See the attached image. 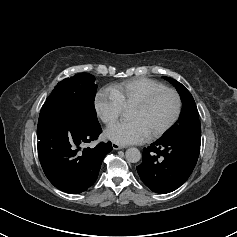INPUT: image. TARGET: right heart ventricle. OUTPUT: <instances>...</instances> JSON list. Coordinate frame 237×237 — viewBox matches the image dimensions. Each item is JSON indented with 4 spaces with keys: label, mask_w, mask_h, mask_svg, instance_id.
I'll list each match as a JSON object with an SVG mask.
<instances>
[{
    "label": "right heart ventricle",
    "mask_w": 237,
    "mask_h": 237,
    "mask_svg": "<svg viewBox=\"0 0 237 237\" xmlns=\"http://www.w3.org/2000/svg\"><path fill=\"white\" fill-rule=\"evenodd\" d=\"M162 83L148 78H133L111 86L123 106L133 105L149 93L164 88Z\"/></svg>",
    "instance_id": "obj_1"
}]
</instances>
